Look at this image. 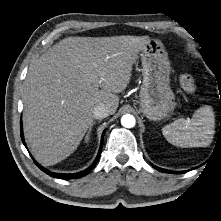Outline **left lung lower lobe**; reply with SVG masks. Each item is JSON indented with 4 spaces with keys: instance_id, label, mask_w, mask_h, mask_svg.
Returning a JSON list of instances; mask_svg holds the SVG:
<instances>
[{
    "instance_id": "obj_1",
    "label": "left lung lower lobe",
    "mask_w": 221,
    "mask_h": 221,
    "mask_svg": "<svg viewBox=\"0 0 221 221\" xmlns=\"http://www.w3.org/2000/svg\"><path fill=\"white\" fill-rule=\"evenodd\" d=\"M153 167H154L155 169H157L158 171H160V172H164V173H179V172H175V171L165 170V169H162V168L156 167V166H154V165H153ZM183 172H187V171H183Z\"/></svg>"
}]
</instances>
